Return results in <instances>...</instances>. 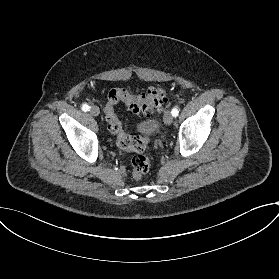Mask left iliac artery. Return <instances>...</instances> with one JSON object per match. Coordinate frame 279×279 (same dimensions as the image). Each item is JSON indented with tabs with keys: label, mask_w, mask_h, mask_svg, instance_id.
<instances>
[{
	"label": "left iliac artery",
	"mask_w": 279,
	"mask_h": 279,
	"mask_svg": "<svg viewBox=\"0 0 279 279\" xmlns=\"http://www.w3.org/2000/svg\"><path fill=\"white\" fill-rule=\"evenodd\" d=\"M171 114H172L173 117H177V116H178L179 111H178L177 107L174 108V109L171 111Z\"/></svg>",
	"instance_id": "left-iliac-artery-1"
}]
</instances>
